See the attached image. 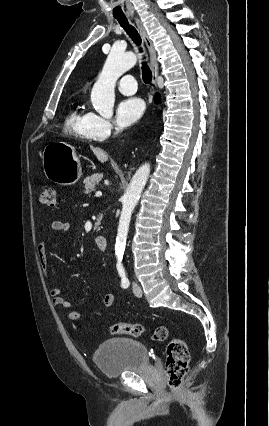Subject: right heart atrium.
Returning a JSON list of instances; mask_svg holds the SVG:
<instances>
[{
    "instance_id": "d8ad5b80",
    "label": "right heart atrium",
    "mask_w": 269,
    "mask_h": 426,
    "mask_svg": "<svg viewBox=\"0 0 269 426\" xmlns=\"http://www.w3.org/2000/svg\"><path fill=\"white\" fill-rule=\"evenodd\" d=\"M115 133L116 129L108 119L92 113L89 134L93 139L103 141Z\"/></svg>"
}]
</instances>
